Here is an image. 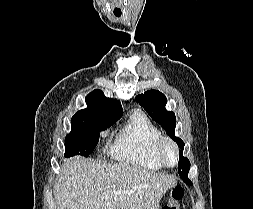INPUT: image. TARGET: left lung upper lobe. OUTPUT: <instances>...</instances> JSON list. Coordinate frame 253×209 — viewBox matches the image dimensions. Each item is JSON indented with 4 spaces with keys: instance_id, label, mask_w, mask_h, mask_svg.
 Listing matches in <instances>:
<instances>
[{
    "instance_id": "1",
    "label": "left lung upper lobe",
    "mask_w": 253,
    "mask_h": 209,
    "mask_svg": "<svg viewBox=\"0 0 253 209\" xmlns=\"http://www.w3.org/2000/svg\"><path fill=\"white\" fill-rule=\"evenodd\" d=\"M139 104L147 111L150 117L160 124L166 131V133L177 143L181 148L178 173L182 180L186 183L190 182L188 179V172L190 169V162L186 157H183L182 152L184 143L182 139L175 136L176 117L173 111H167L165 105L167 99L164 94L158 90H149L144 94H140L136 97Z\"/></svg>"
}]
</instances>
